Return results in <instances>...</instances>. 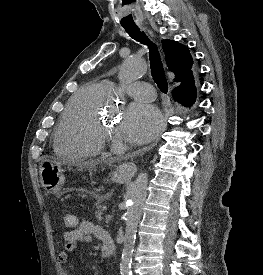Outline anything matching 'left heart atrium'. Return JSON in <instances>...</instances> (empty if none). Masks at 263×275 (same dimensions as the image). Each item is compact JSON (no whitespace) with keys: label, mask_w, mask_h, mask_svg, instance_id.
I'll return each instance as SVG.
<instances>
[{"label":"left heart atrium","mask_w":263,"mask_h":275,"mask_svg":"<svg viewBox=\"0 0 263 275\" xmlns=\"http://www.w3.org/2000/svg\"><path fill=\"white\" fill-rule=\"evenodd\" d=\"M163 118L157 107L145 102L130 104L124 114L120 133L130 142L146 143L162 129Z\"/></svg>","instance_id":"obj_1"}]
</instances>
